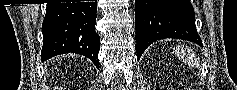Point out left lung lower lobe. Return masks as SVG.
Instances as JSON below:
<instances>
[{
	"label": "left lung lower lobe",
	"mask_w": 237,
	"mask_h": 90,
	"mask_svg": "<svg viewBox=\"0 0 237 90\" xmlns=\"http://www.w3.org/2000/svg\"><path fill=\"white\" fill-rule=\"evenodd\" d=\"M137 56L154 41L177 38L202 45L189 0H135Z\"/></svg>",
	"instance_id": "0a47b994"
}]
</instances>
